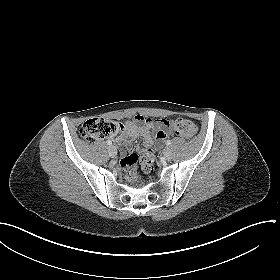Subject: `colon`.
<instances>
[{"label": "colon", "mask_w": 280, "mask_h": 280, "mask_svg": "<svg viewBox=\"0 0 280 280\" xmlns=\"http://www.w3.org/2000/svg\"><path fill=\"white\" fill-rule=\"evenodd\" d=\"M168 126L179 136L184 138H192L197 133L196 125L184 118H175L168 123ZM123 131V126L117 122L104 118H93L85 121L80 129L79 135L86 141H96L105 137H116ZM154 161L153 150L146 148L143 153L130 154L121 160V166L126 172V176L131 181L138 179V164L148 171L152 168Z\"/></svg>", "instance_id": "5ec220e1"}]
</instances>
